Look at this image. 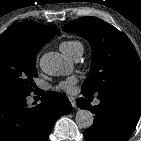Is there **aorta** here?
<instances>
[{"mask_svg": "<svg viewBox=\"0 0 141 141\" xmlns=\"http://www.w3.org/2000/svg\"><path fill=\"white\" fill-rule=\"evenodd\" d=\"M40 68L51 76L64 75L71 71V66L55 52H48L40 58ZM75 121L80 128L87 129L93 124L94 117L91 111L80 109L76 113Z\"/></svg>", "mask_w": 141, "mask_h": 141, "instance_id": "762f6f07", "label": "aorta"}]
</instances>
